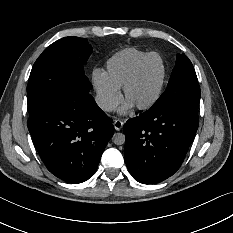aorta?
I'll list each match as a JSON object with an SVG mask.
<instances>
[{
	"label": "aorta",
	"instance_id": "1",
	"mask_svg": "<svg viewBox=\"0 0 233 233\" xmlns=\"http://www.w3.org/2000/svg\"><path fill=\"white\" fill-rule=\"evenodd\" d=\"M112 141L116 145H123L125 143V135L123 133H115L112 137Z\"/></svg>",
	"mask_w": 233,
	"mask_h": 233
}]
</instances>
